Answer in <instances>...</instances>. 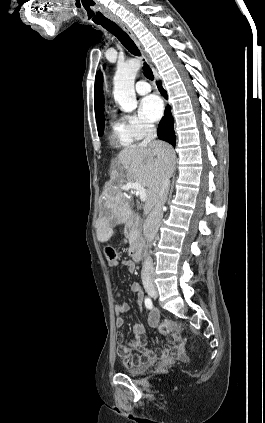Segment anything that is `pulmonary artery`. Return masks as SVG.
<instances>
[{"label":"pulmonary artery","mask_w":265,"mask_h":423,"mask_svg":"<svg viewBox=\"0 0 265 423\" xmlns=\"http://www.w3.org/2000/svg\"><path fill=\"white\" fill-rule=\"evenodd\" d=\"M135 90L140 95H145L151 91V86L145 80H139L135 84Z\"/></svg>","instance_id":"pulmonary-artery-1"}]
</instances>
